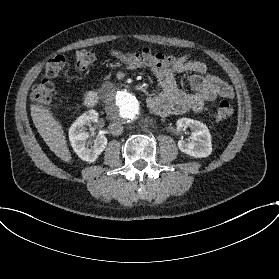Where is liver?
Segmentation results:
<instances>
[{"label": "liver", "mask_w": 279, "mask_h": 279, "mask_svg": "<svg viewBox=\"0 0 279 279\" xmlns=\"http://www.w3.org/2000/svg\"><path fill=\"white\" fill-rule=\"evenodd\" d=\"M31 117L49 149L61 160L71 162V153L67 147L62 126L54 119L49 110L43 109L39 105H32Z\"/></svg>", "instance_id": "liver-1"}]
</instances>
